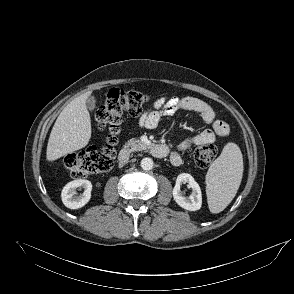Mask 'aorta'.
Segmentation results:
<instances>
[{"instance_id":"aorta-1","label":"aorta","mask_w":294,"mask_h":294,"mask_svg":"<svg viewBox=\"0 0 294 294\" xmlns=\"http://www.w3.org/2000/svg\"><path fill=\"white\" fill-rule=\"evenodd\" d=\"M154 166V162L151 158L145 157L141 160V168L143 170H151Z\"/></svg>"}]
</instances>
